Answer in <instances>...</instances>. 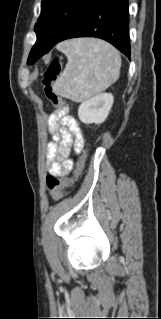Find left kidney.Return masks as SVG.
I'll return each mask as SVG.
<instances>
[{"mask_svg":"<svg viewBox=\"0 0 161 319\" xmlns=\"http://www.w3.org/2000/svg\"><path fill=\"white\" fill-rule=\"evenodd\" d=\"M113 101V95L110 93L96 95L81 103L78 117L85 124H101L109 115Z\"/></svg>","mask_w":161,"mask_h":319,"instance_id":"1","label":"left kidney"}]
</instances>
